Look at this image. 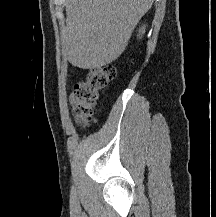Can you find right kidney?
Listing matches in <instances>:
<instances>
[{"label": "right kidney", "instance_id": "1", "mask_svg": "<svg viewBox=\"0 0 216 217\" xmlns=\"http://www.w3.org/2000/svg\"><path fill=\"white\" fill-rule=\"evenodd\" d=\"M145 32V26H143L140 30H139V37L140 35L144 34Z\"/></svg>", "mask_w": 216, "mask_h": 217}]
</instances>
